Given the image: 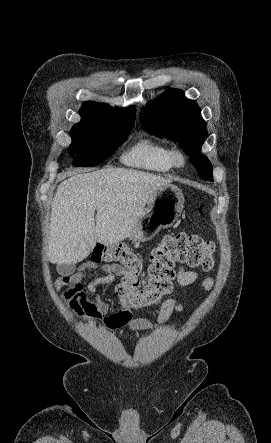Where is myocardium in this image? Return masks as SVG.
<instances>
[{
	"mask_svg": "<svg viewBox=\"0 0 271 443\" xmlns=\"http://www.w3.org/2000/svg\"><path fill=\"white\" fill-rule=\"evenodd\" d=\"M171 159L175 167L185 168L189 163V157L186 151L179 147L172 148Z\"/></svg>",
	"mask_w": 271,
	"mask_h": 443,
	"instance_id": "1",
	"label": "myocardium"
}]
</instances>
